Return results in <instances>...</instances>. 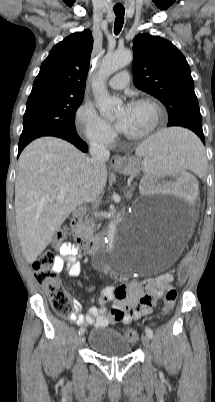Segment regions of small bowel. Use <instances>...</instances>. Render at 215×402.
Wrapping results in <instances>:
<instances>
[{
	"instance_id": "1",
	"label": "small bowel",
	"mask_w": 215,
	"mask_h": 402,
	"mask_svg": "<svg viewBox=\"0 0 215 402\" xmlns=\"http://www.w3.org/2000/svg\"><path fill=\"white\" fill-rule=\"evenodd\" d=\"M79 256L76 244L64 242L59 247L54 270L59 273L65 268L69 276H78L81 271ZM172 279V275L162 274L154 278L130 280L118 286H107L101 291L99 306L90 307L86 315L81 313V302L73 296V309L68 318L80 326L94 325L97 328L119 322L129 324L151 312L157 299L170 289ZM108 302L113 303L110 312L106 308Z\"/></svg>"
}]
</instances>
